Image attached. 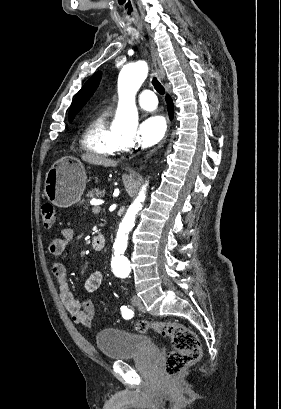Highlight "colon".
<instances>
[{
	"mask_svg": "<svg viewBox=\"0 0 281 409\" xmlns=\"http://www.w3.org/2000/svg\"><path fill=\"white\" fill-rule=\"evenodd\" d=\"M41 216L45 228H52L57 224V212L52 204L45 203L41 206ZM135 327L140 331H152L171 339L174 350L165 356L163 365L166 373L175 374L200 357L197 335L186 326L175 323L139 321Z\"/></svg>",
	"mask_w": 281,
	"mask_h": 409,
	"instance_id": "1",
	"label": "colon"
}]
</instances>
